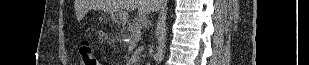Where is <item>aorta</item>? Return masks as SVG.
Listing matches in <instances>:
<instances>
[{
    "mask_svg": "<svg viewBox=\"0 0 309 65\" xmlns=\"http://www.w3.org/2000/svg\"><path fill=\"white\" fill-rule=\"evenodd\" d=\"M166 43H167L166 32L165 33L162 32L159 38L158 52L156 55V64H160L165 57Z\"/></svg>",
    "mask_w": 309,
    "mask_h": 65,
    "instance_id": "762f6f07",
    "label": "aorta"
}]
</instances>
